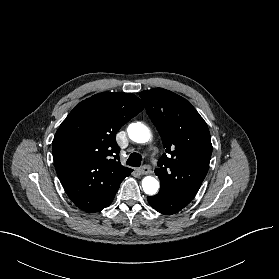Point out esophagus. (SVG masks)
Masks as SVG:
<instances>
[{
  "label": "esophagus",
  "mask_w": 279,
  "mask_h": 279,
  "mask_svg": "<svg viewBox=\"0 0 279 279\" xmlns=\"http://www.w3.org/2000/svg\"><path fill=\"white\" fill-rule=\"evenodd\" d=\"M141 173L144 174V175H147V174L151 173L150 167L148 165H144L141 168Z\"/></svg>",
  "instance_id": "esophagus-1"
}]
</instances>
